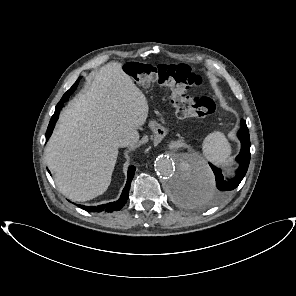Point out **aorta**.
Here are the masks:
<instances>
[{
	"mask_svg": "<svg viewBox=\"0 0 296 296\" xmlns=\"http://www.w3.org/2000/svg\"><path fill=\"white\" fill-rule=\"evenodd\" d=\"M154 168L164 179L171 198L182 206L200 207L213 196V172L194 154L158 156Z\"/></svg>",
	"mask_w": 296,
	"mask_h": 296,
	"instance_id": "762f6f07",
	"label": "aorta"
}]
</instances>
